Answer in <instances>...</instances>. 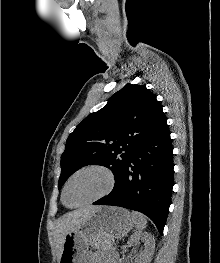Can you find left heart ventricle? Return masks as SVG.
Instances as JSON below:
<instances>
[{"mask_svg":"<svg viewBox=\"0 0 220 263\" xmlns=\"http://www.w3.org/2000/svg\"><path fill=\"white\" fill-rule=\"evenodd\" d=\"M107 185L106 176L99 171H86L69 184L65 195L68 205H75L100 194Z\"/></svg>","mask_w":220,"mask_h":263,"instance_id":"1","label":"left heart ventricle"}]
</instances>
